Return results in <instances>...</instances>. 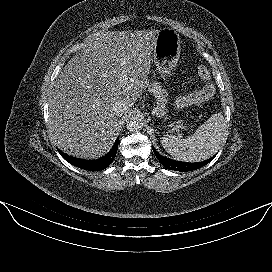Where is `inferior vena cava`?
<instances>
[{"mask_svg":"<svg viewBox=\"0 0 272 272\" xmlns=\"http://www.w3.org/2000/svg\"><path fill=\"white\" fill-rule=\"evenodd\" d=\"M113 111L117 116H122L127 114L129 111V106L124 104L122 101H117L113 106Z\"/></svg>","mask_w":272,"mask_h":272,"instance_id":"obj_1","label":"inferior vena cava"}]
</instances>
